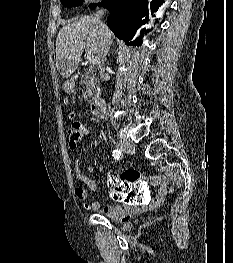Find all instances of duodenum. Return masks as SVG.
<instances>
[{"label": "duodenum", "instance_id": "duodenum-1", "mask_svg": "<svg viewBox=\"0 0 233 263\" xmlns=\"http://www.w3.org/2000/svg\"><path fill=\"white\" fill-rule=\"evenodd\" d=\"M87 97L91 99V111L94 116L101 118L106 113V105L104 103L103 94L101 93V89L99 85L87 86Z\"/></svg>", "mask_w": 233, "mask_h": 263}]
</instances>
